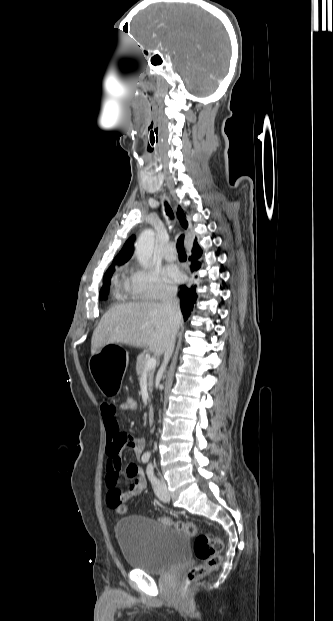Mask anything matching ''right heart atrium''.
Segmentation results:
<instances>
[{
	"instance_id": "obj_1",
	"label": "right heart atrium",
	"mask_w": 333,
	"mask_h": 621,
	"mask_svg": "<svg viewBox=\"0 0 333 621\" xmlns=\"http://www.w3.org/2000/svg\"><path fill=\"white\" fill-rule=\"evenodd\" d=\"M130 286L138 299L156 301L175 294V286L153 266L137 268L130 277Z\"/></svg>"
}]
</instances>
